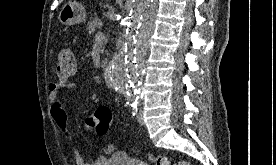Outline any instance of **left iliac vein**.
<instances>
[{"label":"left iliac vein","mask_w":276,"mask_h":165,"mask_svg":"<svg viewBox=\"0 0 276 165\" xmlns=\"http://www.w3.org/2000/svg\"><path fill=\"white\" fill-rule=\"evenodd\" d=\"M137 121L141 124L144 125V118H143V114L141 111H139V113L137 114Z\"/></svg>","instance_id":"obj_1"}]
</instances>
